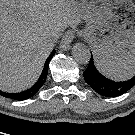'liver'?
I'll return each mask as SVG.
<instances>
[{
  "instance_id": "1",
  "label": "liver",
  "mask_w": 135,
  "mask_h": 135,
  "mask_svg": "<svg viewBox=\"0 0 135 135\" xmlns=\"http://www.w3.org/2000/svg\"><path fill=\"white\" fill-rule=\"evenodd\" d=\"M80 19L66 0H0V90L31 87L54 47L50 38Z\"/></svg>"
}]
</instances>
